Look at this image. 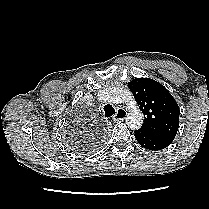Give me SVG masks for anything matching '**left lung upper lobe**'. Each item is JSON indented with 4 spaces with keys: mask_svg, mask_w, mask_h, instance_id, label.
Returning <instances> with one entry per match:
<instances>
[{
    "mask_svg": "<svg viewBox=\"0 0 209 209\" xmlns=\"http://www.w3.org/2000/svg\"><path fill=\"white\" fill-rule=\"evenodd\" d=\"M128 87L141 111L144 123L140 130L174 139L179 127V106L169 91L149 78H135Z\"/></svg>",
    "mask_w": 209,
    "mask_h": 209,
    "instance_id": "left-lung-upper-lobe-1",
    "label": "left lung upper lobe"
}]
</instances>
